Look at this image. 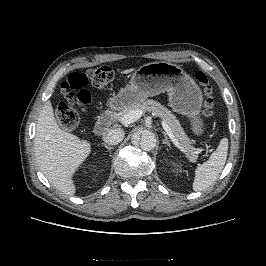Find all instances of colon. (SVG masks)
Here are the masks:
<instances>
[{"label": "colon", "mask_w": 266, "mask_h": 266, "mask_svg": "<svg viewBox=\"0 0 266 266\" xmlns=\"http://www.w3.org/2000/svg\"><path fill=\"white\" fill-rule=\"evenodd\" d=\"M197 81L204 87L203 114L209 117L213 113L214 96L208 77L201 71L195 73ZM113 79V71L108 66H98L86 72H75L68 76L61 85L64 98L57 107L56 117L59 124L66 129H73L79 123L81 113L87 112L91 95L86 86L90 82L94 88H105Z\"/></svg>", "instance_id": "colon-1"}]
</instances>
